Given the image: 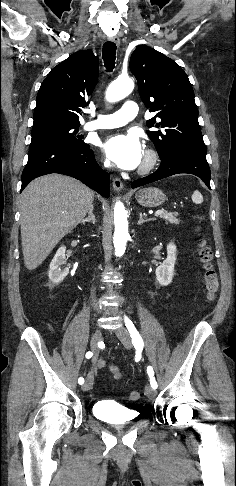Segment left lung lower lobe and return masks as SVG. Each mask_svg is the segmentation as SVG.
<instances>
[{"instance_id":"obj_1","label":"left lung lower lobe","mask_w":236,"mask_h":486,"mask_svg":"<svg viewBox=\"0 0 236 486\" xmlns=\"http://www.w3.org/2000/svg\"><path fill=\"white\" fill-rule=\"evenodd\" d=\"M178 173L196 175L211 189V174L206 154L189 151H177L161 159L160 167L155 173L135 180L131 187L136 188Z\"/></svg>"}]
</instances>
